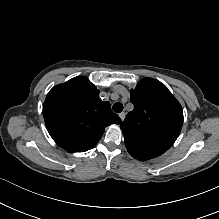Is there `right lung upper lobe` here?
Listing matches in <instances>:
<instances>
[{"label": "right lung upper lobe", "mask_w": 219, "mask_h": 219, "mask_svg": "<svg viewBox=\"0 0 219 219\" xmlns=\"http://www.w3.org/2000/svg\"><path fill=\"white\" fill-rule=\"evenodd\" d=\"M43 116L50 136L70 152L93 148L106 126L121 123L110 103L101 101L99 90L83 76L53 87L45 99Z\"/></svg>", "instance_id": "1"}]
</instances>
